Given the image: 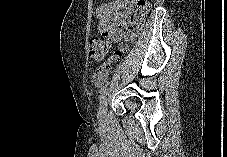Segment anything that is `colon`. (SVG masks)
<instances>
[{"mask_svg":"<svg viewBox=\"0 0 227 157\" xmlns=\"http://www.w3.org/2000/svg\"><path fill=\"white\" fill-rule=\"evenodd\" d=\"M150 10L151 2L149 0H136V10L130 17L129 24L125 30V41L119 45L118 49L107 61L103 62L108 52L106 39L96 37L91 40L89 48L91 57L98 63L103 62L94 75V83L96 87L101 88L107 83L110 75L111 64L126 50L127 42L136 39Z\"/></svg>","mask_w":227,"mask_h":157,"instance_id":"5ec220e1","label":"colon"}]
</instances>
